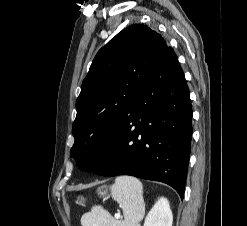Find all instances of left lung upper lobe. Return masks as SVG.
I'll return each mask as SVG.
<instances>
[{
  "mask_svg": "<svg viewBox=\"0 0 247 226\" xmlns=\"http://www.w3.org/2000/svg\"><path fill=\"white\" fill-rule=\"evenodd\" d=\"M165 46V40L156 31L134 24L98 51L83 80L72 126L75 142L70 156L81 170L113 137Z\"/></svg>",
  "mask_w": 247,
  "mask_h": 226,
  "instance_id": "obj_1",
  "label": "left lung upper lobe"
}]
</instances>
